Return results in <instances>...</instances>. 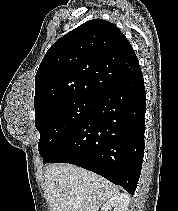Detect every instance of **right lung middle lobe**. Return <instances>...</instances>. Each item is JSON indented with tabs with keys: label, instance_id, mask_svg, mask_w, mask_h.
I'll return each mask as SVG.
<instances>
[{
	"label": "right lung middle lobe",
	"instance_id": "obj_1",
	"mask_svg": "<svg viewBox=\"0 0 178 211\" xmlns=\"http://www.w3.org/2000/svg\"><path fill=\"white\" fill-rule=\"evenodd\" d=\"M95 99L74 98L50 104L35 113L39 153L45 158L89 115Z\"/></svg>",
	"mask_w": 178,
	"mask_h": 211
}]
</instances>
